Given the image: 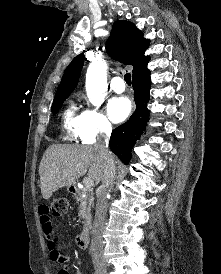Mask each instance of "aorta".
I'll list each match as a JSON object with an SVG mask.
<instances>
[{
  "label": "aorta",
  "mask_w": 221,
  "mask_h": 274,
  "mask_svg": "<svg viewBox=\"0 0 221 274\" xmlns=\"http://www.w3.org/2000/svg\"><path fill=\"white\" fill-rule=\"evenodd\" d=\"M107 90V77L105 63L93 61L86 74V92L89 101L94 106H100Z\"/></svg>",
  "instance_id": "1"
}]
</instances>
